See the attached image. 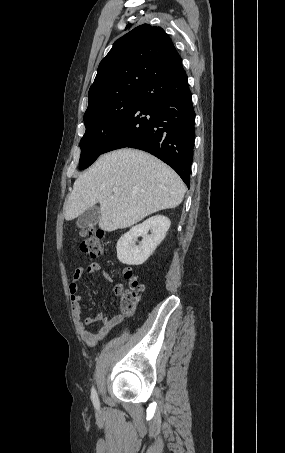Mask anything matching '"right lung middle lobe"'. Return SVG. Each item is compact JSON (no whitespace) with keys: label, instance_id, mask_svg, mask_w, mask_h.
<instances>
[{"label":"right lung middle lobe","instance_id":"right-lung-middle-lobe-1","mask_svg":"<svg viewBox=\"0 0 285 453\" xmlns=\"http://www.w3.org/2000/svg\"><path fill=\"white\" fill-rule=\"evenodd\" d=\"M141 92H131L109 99L84 114L86 132L80 141V170L89 167L124 123L137 104Z\"/></svg>","mask_w":285,"mask_h":453}]
</instances>
